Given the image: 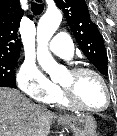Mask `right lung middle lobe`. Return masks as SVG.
Returning a JSON list of instances; mask_svg holds the SVG:
<instances>
[{
    "instance_id": "right-lung-middle-lobe-1",
    "label": "right lung middle lobe",
    "mask_w": 117,
    "mask_h": 136,
    "mask_svg": "<svg viewBox=\"0 0 117 136\" xmlns=\"http://www.w3.org/2000/svg\"><path fill=\"white\" fill-rule=\"evenodd\" d=\"M18 58H0V84L15 85L14 69Z\"/></svg>"
}]
</instances>
